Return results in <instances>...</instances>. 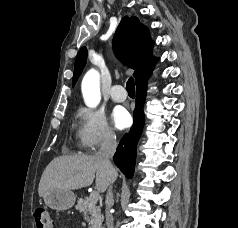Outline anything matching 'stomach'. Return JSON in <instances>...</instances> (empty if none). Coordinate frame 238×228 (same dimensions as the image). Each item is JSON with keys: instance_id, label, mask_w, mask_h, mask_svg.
Listing matches in <instances>:
<instances>
[{"instance_id": "1", "label": "stomach", "mask_w": 238, "mask_h": 228, "mask_svg": "<svg viewBox=\"0 0 238 228\" xmlns=\"http://www.w3.org/2000/svg\"><path fill=\"white\" fill-rule=\"evenodd\" d=\"M43 199L51 209L64 211L74 205L76 197L70 190L50 189L45 193Z\"/></svg>"}]
</instances>
